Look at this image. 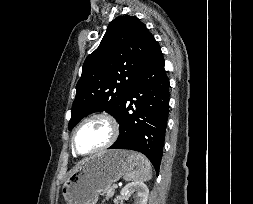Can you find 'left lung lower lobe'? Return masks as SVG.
Here are the masks:
<instances>
[{
  "mask_svg": "<svg viewBox=\"0 0 253 204\" xmlns=\"http://www.w3.org/2000/svg\"><path fill=\"white\" fill-rule=\"evenodd\" d=\"M130 110L133 113H129ZM168 112L169 79L164 70L161 49L157 44L128 94L117 119L120 135L109 149H131L141 152L159 172Z\"/></svg>",
  "mask_w": 253,
  "mask_h": 204,
  "instance_id": "0a47b994",
  "label": "left lung lower lobe"
}]
</instances>
